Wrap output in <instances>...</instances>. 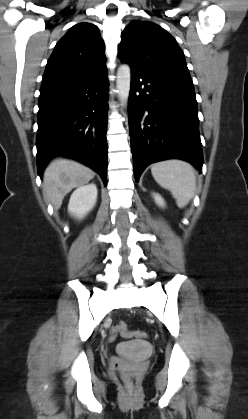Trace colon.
<instances>
[{
    "instance_id": "colon-1",
    "label": "colon",
    "mask_w": 248,
    "mask_h": 419,
    "mask_svg": "<svg viewBox=\"0 0 248 419\" xmlns=\"http://www.w3.org/2000/svg\"><path fill=\"white\" fill-rule=\"evenodd\" d=\"M114 332L115 333H119L120 335H122L123 337L126 338H138V339H146L147 338V333L144 331H139V330H129L128 326L126 323L124 322H120L114 325ZM125 381L127 383V385L131 384L130 379L125 378Z\"/></svg>"
}]
</instances>
